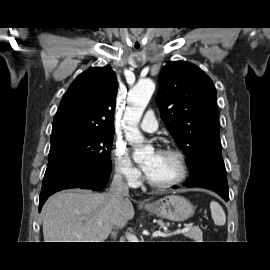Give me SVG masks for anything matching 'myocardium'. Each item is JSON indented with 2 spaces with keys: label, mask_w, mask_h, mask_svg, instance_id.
<instances>
[{
  "label": "myocardium",
  "mask_w": 270,
  "mask_h": 270,
  "mask_svg": "<svg viewBox=\"0 0 270 270\" xmlns=\"http://www.w3.org/2000/svg\"><path fill=\"white\" fill-rule=\"evenodd\" d=\"M161 153L172 155L177 159L180 169L179 175L175 179L165 183H156L152 181L148 177V175L145 176V179L148 185L151 186L152 188L157 190H167L182 184L188 176L189 169L186 157L180 150L174 148H166L162 150Z\"/></svg>",
  "instance_id": "myocardium-1"
}]
</instances>
